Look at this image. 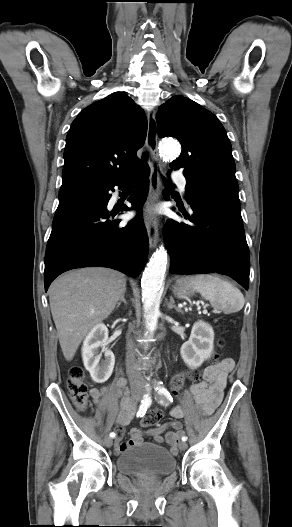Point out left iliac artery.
<instances>
[{
    "label": "left iliac artery",
    "mask_w": 292,
    "mask_h": 527,
    "mask_svg": "<svg viewBox=\"0 0 292 527\" xmlns=\"http://www.w3.org/2000/svg\"><path fill=\"white\" fill-rule=\"evenodd\" d=\"M155 390L158 392L159 395L164 396L167 400L172 401V396L168 392V390L164 387L162 382H155ZM161 403L164 404V400H161ZM187 437L183 436L182 441H186Z\"/></svg>",
    "instance_id": "44dca946"
}]
</instances>
